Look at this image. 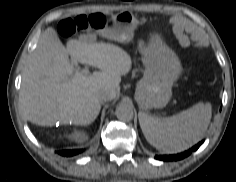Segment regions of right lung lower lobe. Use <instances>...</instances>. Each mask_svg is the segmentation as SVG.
<instances>
[{"mask_svg":"<svg viewBox=\"0 0 236 182\" xmlns=\"http://www.w3.org/2000/svg\"><path fill=\"white\" fill-rule=\"evenodd\" d=\"M83 150H63V151H59L58 153L62 156H73V155H76L80 152H82Z\"/></svg>","mask_w":236,"mask_h":182,"instance_id":"right-lung-lower-lobe-1","label":"right lung lower lobe"}]
</instances>
